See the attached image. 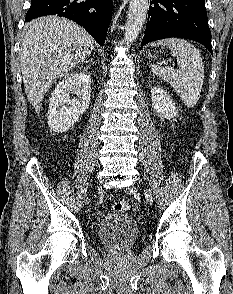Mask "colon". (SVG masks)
<instances>
[{
    "instance_id": "1",
    "label": "colon",
    "mask_w": 233,
    "mask_h": 294,
    "mask_svg": "<svg viewBox=\"0 0 233 294\" xmlns=\"http://www.w3.org/2000/svg\"><path fill=\"white\" fill-rule=\"evenodd\" d=\"M114 210L116 212H127L131 209V205L127 201H120L114 204Z\"/></svg>"
}]
</instances>
